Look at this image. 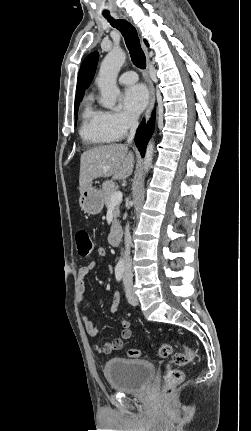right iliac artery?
<instances>
[{
    "label": "right iliac artery",
    "mask_w": 251,
    "mask_h": 431,
    "mask_svg": "<svg viewBox=\"0 0 251 431\" xmlns=\"http://www.w3.org/2000/svg\"><path fill=\"white\" fill-rule=\"evenodd\" d=\"M115 276L117 281H121L123 277V267H116L115 268Z\"/></svg>",
    "instance_id": "82829eb1"
}]
</instances>
